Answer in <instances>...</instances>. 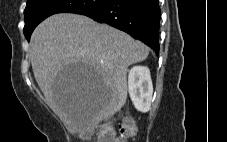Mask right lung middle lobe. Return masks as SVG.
I'll return each mask as SVG.
<instances>
[{"instance_id":"1","label":"right lung middle lobe","mask_w":227,"mask_h":142,"mask_svg":"<svg viewBox=\"0 0 227 142\" xmlns=\"http://www.w3.org/2000/svg\"><path fill=\"white\" fill-rule=\"evenodd\" d=\"M105 2L106 0H29L24 10V35L29 41L36 26L51 15L80 13V11L98 7Z\"/></svg>"}]
</instances>
